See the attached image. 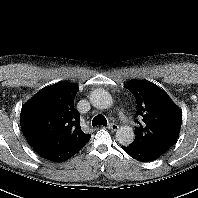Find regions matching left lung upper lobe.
<instances>
[{
	"label": "left lung upper lobe",
	"mask_w": 198,
	"mask_h": 198,
	"mask_svg": "<svg viewBox=\"0 0 198 198\" xmlns=\"http://www.w3.org/2000/svg\"><path fill=\"white\" fill-rule=\"evenodd\" d=\"M136 98V137L131 145L165 153L176 142L181 123V110L155 84L131 80L125 85Z\"/></svg>",
	"instance_id": "5c2ea615"
}]
</instances>
